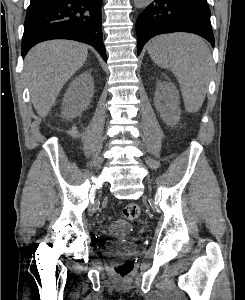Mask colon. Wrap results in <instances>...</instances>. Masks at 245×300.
Instances as JSON below:
<instances>
[{
	"label": "colon",
	"mask_w": 245,
	"mask_h": 300,
	"mask_svg": "<svg viewBox=\"0 0 245 300\" xmlns=\"http://www.w3.org/2000/svg\"><path fill=\"white\" fill-rule=\"evenodd\" d=\"M141 209L137 203H129L123 209V217L127 220H135L140 216ZM133 262L130 259L122 260L115 264L114 270L121 278H127L133 270Z\"/></svg>",
	"instance_id": "1"
}]
</instances>
